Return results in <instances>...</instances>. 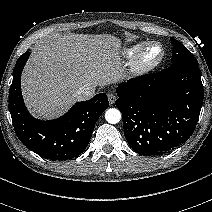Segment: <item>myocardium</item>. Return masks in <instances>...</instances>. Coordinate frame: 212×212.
Returning a JSON list of instances; mask_svg holds the SVG:
<instances>
[{
	"instance_id": "f54148a6",
	"label": "myocardium",
	"mask_w": 212,
	"mask_h": 212,
	"mask_svg": "<svg viewBox=\"0 0 212 212\" xmlns=\"http://www.w3.org/2000/svg\"><path fill=\"white\" fill-rule=\"evenodd\" d=\"M157 48L158 54L149 56L151 49ZM164 57V50L160 43L150 42L141 46L135 53L132 61V70L135 74L143 75L155 69Z\"/></svg>"
}]
</instances>
